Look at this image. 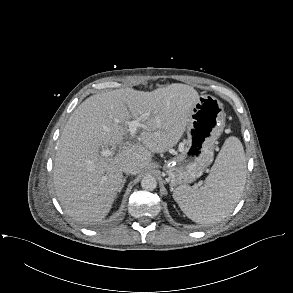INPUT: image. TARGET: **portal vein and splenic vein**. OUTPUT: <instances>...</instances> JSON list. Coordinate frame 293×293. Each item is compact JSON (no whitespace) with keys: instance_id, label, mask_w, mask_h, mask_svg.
<instances>
[{"instance_id":"1","label":"portal vein and splenic vein","mask_w":293,"mask_h":293,"mask_svg":"<svg viewBox=\"0 0 293 293\" xmlns=\"http://www.w3.org/2000/svg\"><path fill=\"white\" fill-rule=\"evenodd\" d=\"M149 116V113L144 114L141 118L129 121L128 127L130 132V139L134 138L137 132V128L144 127L142 124V121L145 120ZM112 154V151L105 149L101 152V155L103 156H110Z\"/></svg>"}]
</instances>
